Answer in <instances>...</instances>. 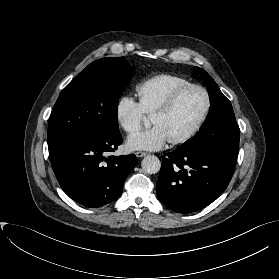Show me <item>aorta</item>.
<instances>
[{
  "label": "aorta",
  "mask_w": 279,
  "mask_h": 279,
  "mask_svg": "<svg viewBox=\"0 0 279 279\" xmlns=\"http://www.w3.org/2000/svg\"><path fill=\"white\" fill-rule=\"evenodd\" d=\"M146 124V121H145ZM142 169L145 173L155 174L160 171L161 162L158 157L154 155H148L144 157L141 162Z\"/></svg>",
  "instance_id": "obj_1"
}]
</instances>
